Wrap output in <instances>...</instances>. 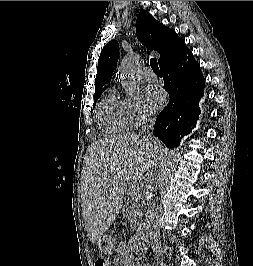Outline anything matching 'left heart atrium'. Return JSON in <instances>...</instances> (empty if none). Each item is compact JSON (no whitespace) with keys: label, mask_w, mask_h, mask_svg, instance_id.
<instances>
[{"label":"left heart atrium","mask_w":253,"mask_h":266,"mask_svg":"<svg viewBox=\"0 0 253 266\" xmlns=\"http://www.w3.org/2000/svg\"><path fill=\"white\" fill-rule=\"evenodd\" d=\"M146 97L150 106L154 109H159L166 101V95L157 86H148L146 88Z\"/></svg>","instance_id":"obj_1"}]
</instances>
